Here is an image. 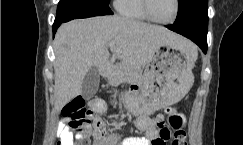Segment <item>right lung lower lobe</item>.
Wrapping results in <instances>:
<instances>
[{"label": "right lung lower lobe", "instance_id": "right-lung-lower-lobe-1", "mask_svg": "<svg viewBox=\"0 0 243 145\" xmlns=\"http://www.w3.org/2000/svg\"><path fill=\"white\" fill-rule=\"evenodd\" d=\"M109 5L96 0H60L57 17L53 24V36L57 28L64 22L93 16L112 15Z\"/></svg>", "mask_w": 243, "mask_h": 145}]
</instances>
